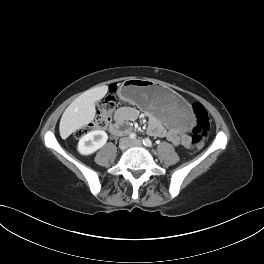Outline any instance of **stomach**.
I'll return each instance as SVG.
<instances>
[{
	"mask_svg": "<svg viewBox=\"0 0 264 264\" xmlns=\"http://www.w3.org/2000/svg\"><path fill=\"white\" fill-rule=\"evenodd\" d=\"M120 96L174 130L187 132L195 124V116L186 102L170 88L151 79L125 80L120 87Z\"/></svg>",
	"mask_w": 264,
	"mask_h": 264,
	"instance_id": "0dacf381",
	"label": "stomach"
}]
</instances>
